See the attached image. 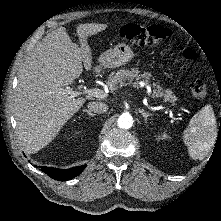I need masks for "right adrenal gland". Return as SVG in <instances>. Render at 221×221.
<instances>
[{"label": "right adrenal gland", "instance_id": "2a0ac1e0", "mask_svg": "<svg viewBox=\"0 0 221 221\" xmlns=\"http://www.w3.org/2000/svg\"><path fill=\"white\" fill-rule=\"evenodd\" d=\"M83 112H86L89 116H95V114L92 113L90 110L83 109Z\"/></svg>", "mask_w": 221, "mask_h": 221}]
</instances>
